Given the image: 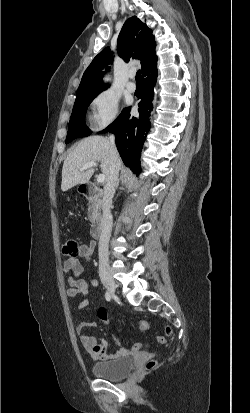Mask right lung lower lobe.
Here are the masks:
<instances>
[{"mask_svg":"<svg viewBox=\"0 0 250 413\" xmlns=\"http://www.w3.org/2000/svg\"><path fill=\"white\" fill-rule=\"evenodd\" d=\"M157 71L154 70L143 76V93L139 106V117H131V107L123 109L119 117L105 130L116 136V146L124 164L135 174L140 170V151L151 126L153 86L156 82Z\"/></svg>","mask_w":250,"mask_h":413,"instance_id":"right-lung-lower-lobe-1","label":"right lung lower lobe"}]
</instances>
